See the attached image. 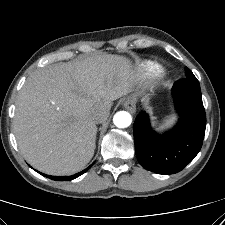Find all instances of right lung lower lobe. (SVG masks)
Returning a JSON list of instances; mask_svg holds the SVG:
<instances>
[{
	"instance_id": "1",
	"label": "right lung lower lobe",
	"mask_w": 225,
	"mask_h": 225,
	"mask_svg": "<svg viewBox=\"0 0 225 225\" xmlns=\"http://www.w3.org/2000/svg\"><path fill=\"white\" fill-rule=\"evenodd\" d=\"M92 165H93V164H91V165H90L88 168H86L85 170H83V171H81V172H79V173H77V174H75V175L68 176V177H66V176H49V175H46V174H43V173H40V174L43 175V176H45V177H48V178H50V179H52V180H56V181H64V180L70 181V180H73V179L79 177V176L82 175L83 173H85L89 168H91Z\"/></svg>"
}]
</instances>
